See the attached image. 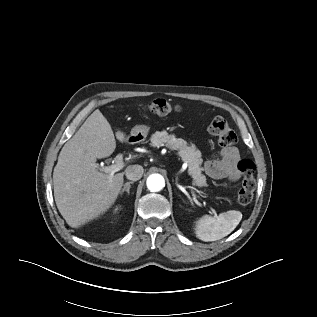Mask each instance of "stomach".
Instances as JSON below:
<instances>
[{
    "instance_id": "1",
    "label": "stomach",
    "mask_w": 317,
    "mask_h": 317,
    "mask_svg": "<svg viewBox=\"0 0 317 317\" xmlns=\"http://www.w3.org/2000/svg\"><path fill=\"white\" fill-rule=\"evenodd\" d=\"M150 131V126L148 125H136L132 131L130 137L135 140V142L143 141Z\"/></svg>"
}]
</instances>
